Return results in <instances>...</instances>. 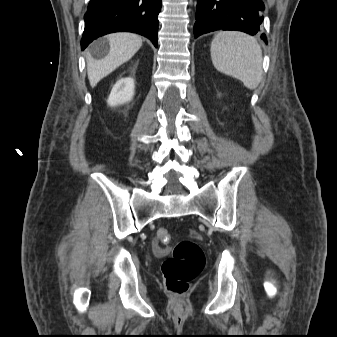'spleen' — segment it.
I'll list each match as a JSON object with an SVG mask.
<instances>
[{
  "label": "spleen",
  "instance_id": "1",
  "mask_svg": "<svg viewBox=\"0 0 337 337\" xmlns=\"http://www.w3.org/2000/svg\"><path fill=\"white\" fill-rule=\"evenodd\" d=\"M211 59L221 73L255 89L262 78V50L256 38L238 31H221L211 43Z\"/></svg>",
  "mask_w": 337,
  "mask_h": 337
}]
</instances>
